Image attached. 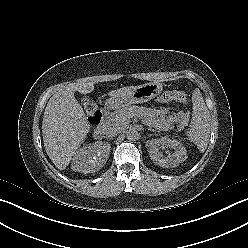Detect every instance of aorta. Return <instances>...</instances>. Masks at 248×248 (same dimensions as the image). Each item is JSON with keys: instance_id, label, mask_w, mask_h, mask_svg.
<instances>
[{"instance_id": "762f6f07", "label": "aorta", "mask_w": 248, "mask_h": 248, "mask_svg": "<svg viewBox=\"0 0 248 248\" xmlns=\"http://www.w3.org/2000/svg\"><path fill=\"white\" fill-rule=\"evenodd\" d=\"M126 137L130 141H136L139 138V134L135 129H130L127 131Z\"/></svg>"}]
</instances>
